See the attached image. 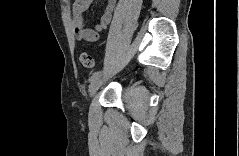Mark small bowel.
<instances>
[{
  "label": "small bowel",
  "mask_w": 239,
  "mask_h": 156,
  "mask_svg": "<svg viewBox=\"0 0 239 156\" xmlns=\"http://www.w3.org/2000/svg\"><path fill=\"white\" fill-rule=\"evenodd\" d=\"M91 0H75L72 5V23L75 36L82 41L95 42L98 40L99 33L110 23L112 12L115 8V0H108L103 8L100 20L89 28L84 23V13L89 8Z\"/></svg>",
  "instance_id": "1"
}]
</instances>
